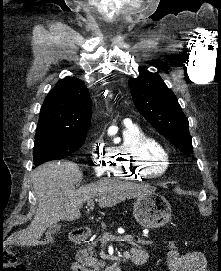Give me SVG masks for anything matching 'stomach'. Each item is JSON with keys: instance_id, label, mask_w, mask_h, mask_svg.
<instances>
[{"instance_id": "stomach-1", "label": "stomach", "mask_w": 221, "mask_h": 271, "mask_svg": "<svg viewBox=\"0 0 221 271\" xmlns=\"http://www.w3.org/2000/svg\"><path fill=\"white\" fill-rule=\"evenodd\" d=\"M133 215L143 227H162L170 221L171 205L158 193H141L133 205Z\"/></svg>"}]
</instances>
